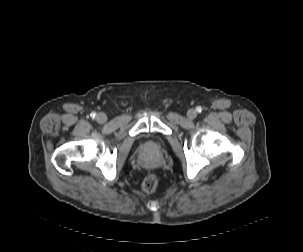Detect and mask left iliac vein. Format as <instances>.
<instances>
[{
  "label": "left iliac vein",
  "mask_w": 303,
  "mask_h": 252,
  "mask_svg": "<svg viewBox=\"0 0 303 252\" xmlns=\"http://www.w3.org/2000/svg\"><path fill=\"white\" fill-rule=\"evenodd\" d=\"M187 116L189 119H195L196 116H197V112L193 109L189 110L188 113H187Z\"/></svg>",
  "instance_id": "left-iliac-vein-1"
}]
</instances>
